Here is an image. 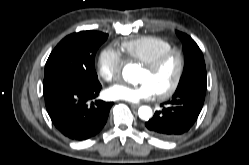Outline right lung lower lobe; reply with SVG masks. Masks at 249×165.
<instances>
[{"mask_svg":"<svg viewBox=\"0 0 249 165\" xmlns=\"http://www.w3.org/2000/svg\"><path fill=\"white\" fill-rule=\"evenodd\" d=\"M100 83L90 87L54 77L44 78L43 92L47 112L56 128L73 140H86L106 124L112 102L96 100Z\"/></svg>","mask_w":249,"mask_h":165,"instance_id":"1","label":"right lung lower lobe"}]
</instances>
